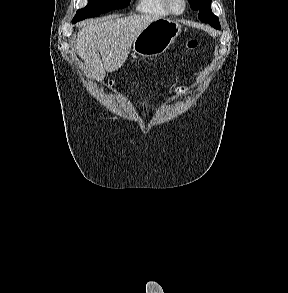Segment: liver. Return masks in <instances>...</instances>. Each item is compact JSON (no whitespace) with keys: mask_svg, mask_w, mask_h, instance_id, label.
I'll return each mask as SVG.
<instances>
[{"mask_svg":"<svg viewBox=\"0 0 288 293\" xmlns=\"http://www.w3.org/2000/svg\"><path fill=\"white\" fill-rule=\"evenodd\" d=\"M159 18L157 14L131 15L99 19L84 26L78 32L75 49L84 61L87 77L101 82L106 71L118 70L127 60L134 39Z\"/></svg>","mask_w":288,"mask_h":293,"instance_id":"obj_1","label":"liver"}]
</instances>
